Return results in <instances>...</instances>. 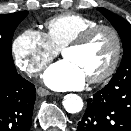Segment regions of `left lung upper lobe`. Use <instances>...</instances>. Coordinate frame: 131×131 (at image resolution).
Wrapping results in <instances>:
<instances>
[{"instance_id":"left-lung-upper-lobe-1","label":"left lung upper lobe","mask_w":131,"mask_h":131,"mask_svg":"<svg viewBox=\"0 0 131 131\" xmlns=\"http://www.w3.org/2000/svg\"><path fill=\"white\" fill-rule=\"evenodd\" d=\"M114 26L123 43V58L117 72L109 83L131 80V24L105 8H97Z\"/></svg>"}]
</instances>
